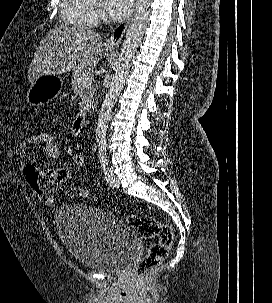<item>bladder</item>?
<instances>
[{
	"mask_svg": "<svg viewBox=\"0 0 272 303\" xmlns=\"http://www.w3.org/2000/svg\"><path fill=\"white\" fill-rule=\"evenodd\" d=\"M54 222L70 254L89 269L120 272L137 253L135 231L108 212L66 203L57 209Z\"/></svg>",
	"mask_w": 272,
	"mask_h": 303,
	"instance_id": "obj_1",
	"label": "bladder"
}]
</instances>
